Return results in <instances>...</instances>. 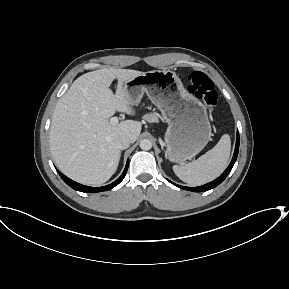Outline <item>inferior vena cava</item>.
<instances>
[{
  "label": "inferior vena cava",
  "instance_id": "obj_1",
  "mask_svg": "<svg viewBox=\"0 0 289 289\" xmlns=\"http://www.w3.org/2000/svg\"><path fill=\"white\" fill-rule=\"evenodd\" d=\"M130 143H131V140L128 137L123 136V137L118 138L116 145L118 149L124 150L129 147Z\"/></svg>",
  "mask_w": 289,
  "mask_h": 289
}]
</instances>
